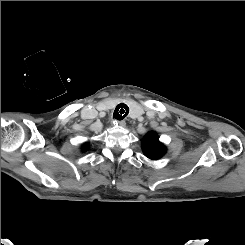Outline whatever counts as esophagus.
I'll return each mask as SVG.
<instances>
[{"instance_id":"1","label":"esophagus","mask_w":245,"mask_h":245,"mask_svg":"<svg viewBox=\"0 0 245 245\" xmlns=\"http://www.w3.org/2000/svg\"><path fill=\"white\" fill-rule=\"evenodd\" d=\"M116 124L120 125L121 127H124L126 125L125 121H115Z\"/></svg>"}]
</instances>
